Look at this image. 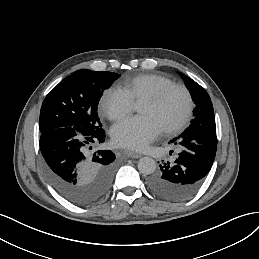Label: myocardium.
I'll use <instances>...</instances> for the list:
<instances>
[{
    "label": "myocardium",
    "instance_id": "f54148a6",
    "mask_svg": "<svg viewBox=\"0 0 259 259\" xmlns=\"http://www.w3.org/2000/svg\"><path fill=\"white\" fill-rule=\"evenodd\" d=\"M175 91L183 93L185 97V111L182 117L174 125L162 130V132L167 136L176 135L189 122L194 108V101L191 91L182 84L171 83L161 88L160 91L157 92L155 95L145 98L143 100V102H146L151 105H159Z\"/></svg>",
    "mask_w": 259,
    "mask_h": 259
}]
</instances>
